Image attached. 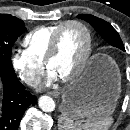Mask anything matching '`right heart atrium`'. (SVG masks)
Returning <instances> with one entry per match:
<instances>
[{
    "label": "right heart atrium",
    "mask_w": 130,
    "mask_h": 130,
    "mask_svg": "<svg viewBox=\"0 0 130 130\" xmlns=\"http://www.w3.org/2000/svg\"><path fill=\"white\" fill-rule=\"evenodd\" d=\"M11 65L19 78L32 87L39 84L44 73V64L32 58L26 50H14L11 54Z\"/></svg>",
    "instance_id": "1"
}]
</instances>
